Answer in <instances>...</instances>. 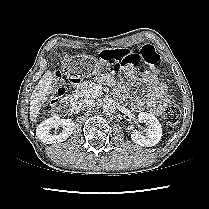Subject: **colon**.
<instances>
[{
  "instance_id": "colon-1",
  "label": "colon",
  "mask_w": 209,
  "mask_h": 209,
  "mask_svg": "<svg viewBox=\"0 0 209 209\" xmlns=\"http://www.w3.org/2000/svg\"><path fill=\"white\" fill-rule=\"evenodd\" d=\"M100 58L102 60H107L111 62L115 69L124 68L128 64H139L144 63L149 66L155 67L160 62V55L154 48V46L150 44L143 45L139 50H128V49H116L112 51H102L100 53ZM56 82L59 86L57 91L49 97L45 106L50 107L58 100V96L61 94V84L62 77L60 73L56 74ZM181 117L180 109L176 106H168L163 114L164 122L173 126L176 125Z\"/></svg>"
}]
</instances>
